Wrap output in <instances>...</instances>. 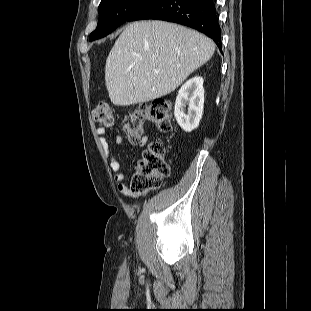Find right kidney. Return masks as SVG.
Here are the masks:
<instances>
[{"instance_id": "right-kidney-1", "label": "right kidney", "mask_w": 311, "mask_h": 311, "mask_svg": "<svg viewBox=\"0 0 311 311\" xmlns=\"http://www.w3.org/2000/svg\"><path fill=\"white\" fill-rule=\"evenodd\" d=\"M188 104V112L185 107ZM204 88L203 78L196 76L189 79L180 88L174 108V115L179 126L186 132L196 129L203 115Z\"/></svg>"}]
</instances>
